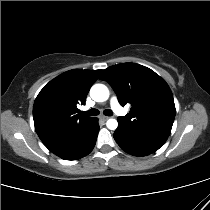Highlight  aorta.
Wrapping results in <instances>:
<instances>
[{"label": "aorta", "instance_id": "obj_1", "mask_svg": "<svg viewBox=\"0 0 210 210\" xmlns=\"http://www.w3.org/2000/svg\"><path fill=\"white\" fill-rule=\"evenodd\" d=\"M90 96L96 102H104L109 98V90L103 84H94L90 89ZM106 125L108 129L115 130L118 127V122L116 119H109Z\"/></svg>", "mask_w": 210, "mask_h": 210}]
</instances>
